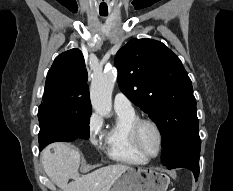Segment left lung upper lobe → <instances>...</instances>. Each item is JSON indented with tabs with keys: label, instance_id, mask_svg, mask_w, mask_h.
I'll list each match as a JSON object with an SVG mask.
<instances>
[{
	"label": "left lung upper lobe",
	"instance_id": "5c2ea615",
	"mask_svg": "<svg viewBox=\"0 0 233 191\" xmlns=\"http://www.w3.org/2000/svg\"><path fill=\"white\" fill-rule=\"evenodd\" d=\"M121 91L158 126L162 163L201 148L196 100L180 59L162 42L132 39L115 56Z\"/></svg>",
	"mask_w": 233,
	"mask_h": 191
}]
</instances>
